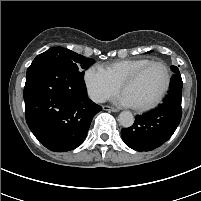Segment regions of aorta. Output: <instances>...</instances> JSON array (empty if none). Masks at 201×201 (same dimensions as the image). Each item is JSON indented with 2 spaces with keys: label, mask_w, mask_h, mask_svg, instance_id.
<instances>
[{
  "label": "aorta",
  "mask_w": 201,
  "mask_h": 201,
  "mask_svg": "<svg viewBox=\"0 0 201 201\" xmlns=\"http://www.w3.org/2000/svg\"><path fill=\"white\" fill-rule=\"evenodd\" d=\"M118 121L121 126L128 128L131 127L134 123V116L129 111H123L118 116Z\"/></svg>",
  "instance_id": "762f6f07"
}]
</instances>
